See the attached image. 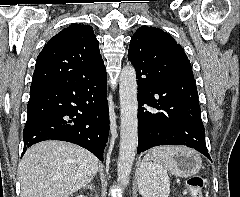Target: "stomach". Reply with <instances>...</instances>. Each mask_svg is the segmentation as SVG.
Masks as SVG:
<instances>
[{
	"instance_id": "1",
	"label": "stomach",
	"mask_w": 240,
	"mask_h": 197,
	"mask_svg": "<svg viewBox=\"0 0 240 197\" xmlns=\"http://www.w3.org/2000/svg\"><path fill=\"white\" fill-rule=\"evenodd\" d=\"M150 160H152V156L148 154L145 156L144 162L141 165ZM201 167L202 161L195 151L175 154L172 156L171 161L166 164V168H168L175 176L183 178L197 174ZM142 184L143 182L139 171V188H141Z\"/></svg>"
}]
</instances>
